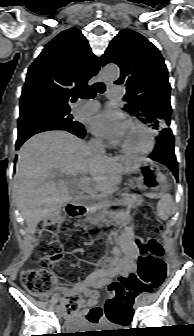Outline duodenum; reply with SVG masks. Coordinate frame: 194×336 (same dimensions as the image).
<instances>
[{
    "mask_svg": "<svg viewBox=\"0 0 194 336\" xmlns=\"http://www.w3.org/2000/svg\"><path fill=\"white\" fill-rule=\"evenodd\" d=\"M68 214L71 217H78L86 213L88 207L81 203H73L67 207Z\"/></svg>",
    "mask_w": 194,
    "mask_h": 336,
    "instance_id": "duodenum-1",
    "label": "duodenum"
}]
</instances>
